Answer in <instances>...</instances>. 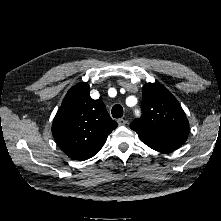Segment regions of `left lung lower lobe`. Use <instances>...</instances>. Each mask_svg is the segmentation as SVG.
Instances as JSON below:
<instances>
[{
  "label": "left lung lower lobe",
  "instance_id": "obj_1",
  "mask_svg": "<svg viewBox=\"0 0 221 221\" xmlns=\"http://www.w3.org/2000/svg\"><path fill=\"white\" fill-rule=\"evenodd\" d=\"M139 137L150 148L163 153L172 152L178 149L185 142L182 140L161 139L153 136L140 135Z\"/></svg>",
  "mask_w": 221,
  "mask_h": 221
}]
</instances>
